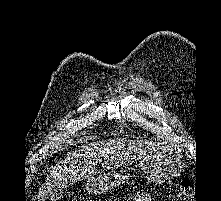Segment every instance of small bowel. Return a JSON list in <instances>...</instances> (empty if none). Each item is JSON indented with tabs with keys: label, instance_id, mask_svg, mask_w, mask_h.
I'll return each instance as SVG.
<instances>
[{
	"label": "small bowel",
	"instance_id": "c3829d8e",
	"mask_svg": "<svg viewBox=\"0 0 221 201\" xmlns=\"http://www.w3.org/2000/svg\"><path fill=\"white\" fill-rule=\"evenodd\" d=\"M127 201H151L146 193H137L132 195Z\"/></svg>",
	"mask_w": 221,
	"mask_h": 201
}]
</instances>
